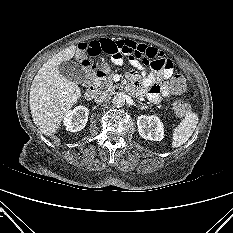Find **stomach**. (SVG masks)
Wrapping results in <instances>:
<instances>
[{
    "mask_svg": "<svg viewBox=\"0 0 233 233\" xmlns=\"http://www.w3.org/2000/svg\"><path fill=\"white\" fill-rule=\"evenodd\" d=\"M102 70H103L105 73H108V72L110 71L109 65H107V64L102 65Z\"/></svg>",
    "mask_w": 233,
    "mask_h": 233,
    "instance_id": "stomach-1",
    "label": "stomach"
}]
</instances>
